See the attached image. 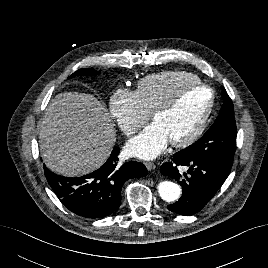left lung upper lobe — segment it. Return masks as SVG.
<instances>
[{
    "label": "left lung upper lobe",
    "instance_id": "5c2ea615",
    "mask_svg": "<svg viewBox=\"0 0 268 268\" xmlns=\"http://www.w3.org/2000/svg\"><path fill=\"white\" fill-rule=\"evenodd\" d=\"M224 104L209 130L197 142L178 152L184 157L212 159L232 167L236 148L237 129L233 103L222 87Z\"/></svg>",
    "mask_w": 268,
    "mask_h": 268
}]
</instances>
